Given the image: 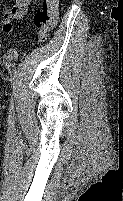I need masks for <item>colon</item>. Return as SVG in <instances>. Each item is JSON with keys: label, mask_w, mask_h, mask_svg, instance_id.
Here are the masks:
<instances>
[{"label": "colon", "mask_w": 123, "mask_h": 201, "mask_svg": "<svg viewBox=\"0 0 123 201\" xmlns=\"http://www.w3.org/2000/svg\"><path fill=\"white\" fill-rule=\"evenodd\" d=\"M58 0H43L40 10L34 17V24L37 28V41L44 43L48 34L54 29L58 20Z\"/></svg>", "instance_id": "obj_1"}]
</instances>
